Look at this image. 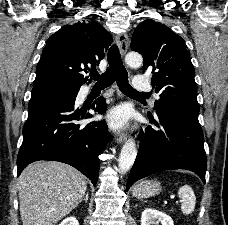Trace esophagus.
I'll use <instances>...</instances> for the list:
<instances>
[{
    "label": "esophagus",
    "mask_w": 228,
    "mask_h": 225,
    "mask_svg": "<svg viewBox=\"0 0 228 225\" xmlns=\"http://www.w3.org/2000/svg\"><path fill=\"white\" fill-rule=\"evenodd\" d=\"M116 42L120 51V54L122 56L125 55V53L128 50V46H129V38L128 35L126 33H120L116 36ZM127 139V133H125L122 130H119L116 132L115 134V140L117 141V143H122L124 140Z\"/></svg>",
    "instance_id": "obj_1"
}]
</instances>
